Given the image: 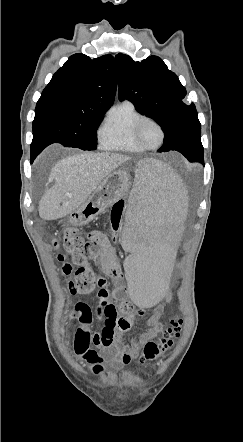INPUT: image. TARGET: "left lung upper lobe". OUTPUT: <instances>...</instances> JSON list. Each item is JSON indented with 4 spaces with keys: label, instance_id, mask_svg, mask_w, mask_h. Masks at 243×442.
Returning a JSON list of instances; mask_svg holds the SVG:
<instances>
[{
    "label": "left lung upper lobe",
    "instance_id": "left-lung-upper-lobe-1",
    "mask_svg": "<svg viewBox=\"0 0 243 442\" xmlns=\"http://www.w3.org/2000/svg\"><path fill=\"white\" fill-rule=\"evenodd\" d=\"M115 59L119 99L133 102L138 112L154 119L165 133L159 152H181L201 142V124L195 105L183 102L186 89L161 58L150 56L142 62H134L130 56L119 53Z\"/></svg>",
    "mask_w": 243,
    "mask_h": 442
}]
</instances>
